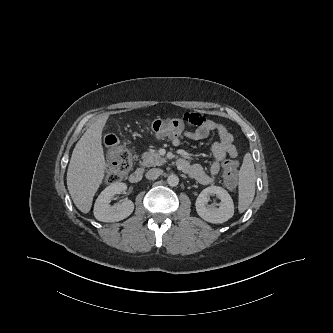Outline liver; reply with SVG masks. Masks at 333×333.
Listing matches in <instances>:
<instances>
[{"label": "liver", "mask_w": 333, "mask_h": 333, "mask_svg": "<svg viewBox=\"0 0 333 333\" xmlns=\"http://www.w3.org/2000/svg\"><path fill=\"white\" fill-rule=\"evenodd\" d=\"M109 118L99 117L77 142L67 171V187L76 207L88 213L106 169L102 131Z\"/></svg>", "instance_id": "obj_1"}]
</instances>
